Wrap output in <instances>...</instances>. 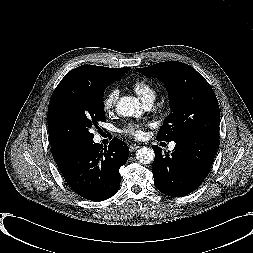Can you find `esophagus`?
Here are the masks:
<instances>
[{
  "mask_svg": "<svg viewBox=\"0 0 253 253\" xmlns=\"http://www.w3.org/2000/svg\"><path fill=\"white\" fill-rule=\"evenodd\" d=\"M138 148H139V145H137V144H130V145H129V150H130V152H134V151H136Z\"/></svg>",
  "mask_w": 253,
  "mask_h": 253,
  "instance_id": "esophagus-1",
  "label": "esophagus"
}]
</instances>
